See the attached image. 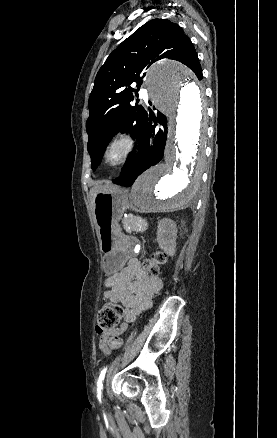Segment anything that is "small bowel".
Wrapping results in <instances>:
<instances>
[{
	"label": "small bowel",
	"instance_id": "1",
	"mask_svg": "<svg viewBox=\"0 0 277 438\" xmlns=\"http://www.w3.org/2000/svg\"><path fill=\"white\" fill-rule=\"evenodd\" d=\"M137 249H132L125 266L106 279L108 290L104 297L114 304H122L124 308L123 323L116 329L105 333L99 342V347L107 351L111 340L118 337L133 322L136 317L152 305L154 296L161 290L162 281L149 274L136 257Z\"/></svg>",
	"mask_w": 277,
	"mask_h": 438
}]
</instances>
